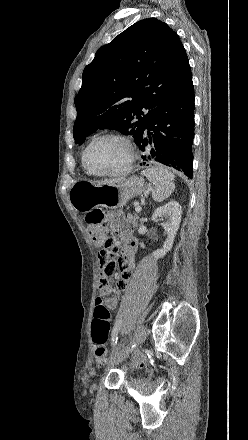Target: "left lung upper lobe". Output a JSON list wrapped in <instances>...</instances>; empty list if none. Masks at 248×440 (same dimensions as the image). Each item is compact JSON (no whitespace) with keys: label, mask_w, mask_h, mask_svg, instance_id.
Listing matches in <instances>:
<instances>
[{"label":"left lung upper lobe","mask_w":248,"mask_h":440,"mask_svg":"<svg viewBox=\"0 0 248 440\" xmlns=\"http://www.w3.org/2000/svg\"><path fill=\"white\" fill-rule=\"evenodd\" d=\"M191 81L188 58L176 32L155 18L136 22L101 47L85 67L74 100L75 144L105 128L132 135L138 143L162 103ZM144 110L148 113L141 117Z\"/></svg>","instance_id":"left-lung-upper-lobe-1"}]
</instances>
